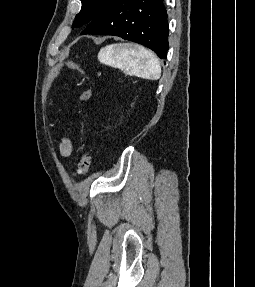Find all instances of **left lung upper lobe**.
I'll use <instances>...</instances> for the list:
<instances>
[{
	"label": "left lung upper lobe",
	"mask_w": 255,
	"mask_h": 287,
	"mask_svg": "<svg viewBox=\"0 0 255 287\" xmlns=\"http://www.w3.org/2000/svg\"><path fill=\"white\" fill-rule=\"evenodd\" d=\"M112 0H81L82 8L76 15L73 27L89 24L100 12H102Z\"/></svg>",
	"instance_id": "obj_1"
}]
</instances>
